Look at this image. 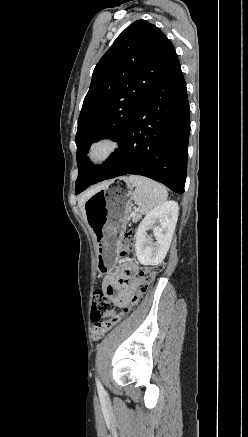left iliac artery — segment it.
<instances>
[{
    "label": "left iliac artery",
    "mask_w": 248,
    "mask_h": 437,
    "mask_svg": "<svg viewBox=\"0 0 248 437\" xmlns=\"http://www.w3.org/2000/svg\"><path fill=\"white\" fill-rule=\"evenodd\" d=\"M96 385L99 391H103V386L97 378H96Z\"/></svg>",
    "instance_id": "1"
}]
</instances>
